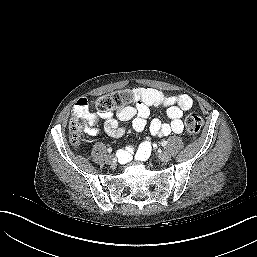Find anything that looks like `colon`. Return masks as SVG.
Segmentation results:
<instances>
[{"instance_id":"obj_1","label":"colon","mask_w":257,"mask_h":257,"mask_svg":"<svg viewBox=\"0 0 257 257\" xmlns=\"http://www.w3.org/2000/svg\"><path fill=\"white\" fill-rule=\"evenodd\" d=\"M137 99V94L130 90H120L93 101V107L100 113H109L132 103ZM90 124L89 118V102L87 99L81 98L76 101L73 108V117L69 123L70 139L72 143L79 142L80 135L83 130ZM203 120L201 116L191 111L185 119V129L190 139H195L199 134Z\"/></svg>"}]
</instances>
